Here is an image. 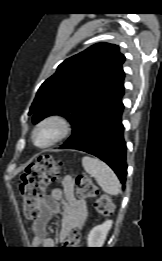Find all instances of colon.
<instances>
[{
    "instance_id": "5ec220e1",
    "label": "colon",
    "mask_w": 162,
    "mask_h": 261,
    "mask_svg": "<svg viewBox=\"0 0 162 261\" xmlns=\"http://www.w3.org/2000/svg\"><path fill=\"white\" fill-rule=\"evenodd\" d=\"M59 166L58 163L49 155L40 156L34 164L30 165L21 177L19 185L20 195L22 198L23 214L27 220H36L39 217V202L45 192L46 187L58 180ZM77 199H90L97 197L95 210L104 216L113 213L114 206L111 198L107 194L99 195L98 187L86 176L79 175L76 177ZM81 234L74 233L71 238L66 239L63 245L80 244Z\"/></svg>"
}]
</instances>
